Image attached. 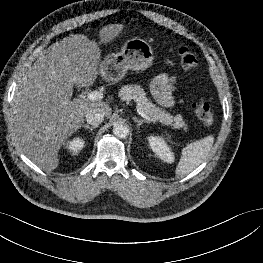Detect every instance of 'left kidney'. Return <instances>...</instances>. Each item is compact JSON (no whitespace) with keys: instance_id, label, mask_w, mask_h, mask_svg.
Returning a JSON list of instances; mask_svg holds the SVG:
<instances>
[{"instance_id":"5707ae66","label":"left kidney","mask_w":263,"mask_h":263,"mask_svg":"<svg viewBox=\"0 0 263 263\" xmlns=\"http://www.w3.org/2000/svg\"><path fill=\"white\" fill-rule=\"evenodd\" d=\"M149 144L151 149L165 162H173V154L162 137L150 136Z\"/></svg>"}]
</instances>
